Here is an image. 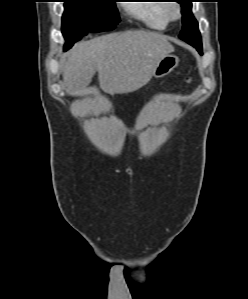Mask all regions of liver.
I'll use <instances>...</instances> for the list:
<instances>
[{
	"instance_id": "obj_1",
	"label": "liver",
	"mask_w": 248,
	"mask_h": 299,
	"mask_svg": "<svg viewBox=\"0 0 248 299\" xmlns=\"http://www.w3.org/2000/svg\"><path fill=\"white\" fill-rule=\"evenodd\" d=\"M174 51L165 35L141 30L81 41L68 54L63 80L70 95L86 88L95 72L101 89L127 94L146 85L160 60Z\"/></svg>"
}]
</instances>
